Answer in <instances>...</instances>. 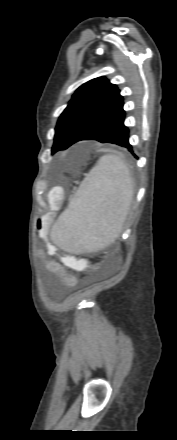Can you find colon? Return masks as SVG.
<instances>
[{"label":"colon","instance_id":"1","mask_svg":"<svg viewBox=\"0 0 177 440\" xmlns=\"http://www.w3.org/2000/svg\"><path fill=\"white\" fill-rule=\"evenodd\" d=\"M60 198H61V193H59L58 191H53L49 194V203H50V207L52 210H54L58 207ZM44 219H45L44 216H42L38 219V222H37L38 226L41 225V223L44 221ZM68 276H70V275H68Z\"/></svg>","mask_w":177,"mask_h":440}]
</instances>
